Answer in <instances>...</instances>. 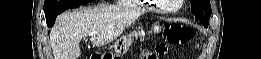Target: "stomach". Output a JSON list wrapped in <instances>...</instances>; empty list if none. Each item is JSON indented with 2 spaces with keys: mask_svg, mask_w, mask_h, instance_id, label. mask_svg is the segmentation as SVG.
<instances>
[{
  "mask_svg": "<svg viewBox=\"0 0 261 59\" xmlns=\"http://www.w3.org/2000/svg\"><path fill=\"white\" fill-rule=\"evenodd\" d=\"M141 34L142 32H133L127 36L120 37L115 45V52L117 54H125L132 44L133 39L141 36Z\"/></svg>",
  "mask_w": 261,
  "mask_h": 59,
  "instance_id": "0dacf381",
  "label": "stomach"
}]
</instances>
